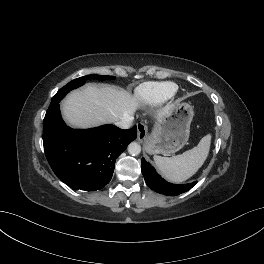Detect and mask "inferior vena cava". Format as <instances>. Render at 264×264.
Wrapping results in <instances>:
<instances>
[{
    "label": "inferior vena cava",
    "instance_id": "1",
    "mask_svg": "<svg viewBox=\"0 0 264 264\" xmlns=\"http://www.w3.org/2000/svg\"><path fill=\"white\" fill-rule=\"evenodd\" d=\"M133 117H127L123 120L117 121L115 125L121 129H128L132 125Z\"/></svg>",
    "mask_w": 264,
    "mask_h": 264
}]
</instances>
